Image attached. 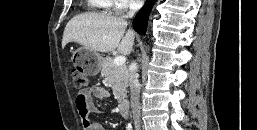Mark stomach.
<instances>
[{"mask_svg":"<svg viewBox=\"0 0 257 130\" xmlns=\"http://www.w3.org/2000/svg\"><path fill=\"white\" fill-rule=\"evenodd\" d=\"M73 57L76 63H81L83 73L90 76L98 74L104 60L98 52L86 47L78 48Z\"/></svg>","mask_w":257,"mask_h":130,"instance_id":"stomach-1","label":"stomach"}]
</instances>
